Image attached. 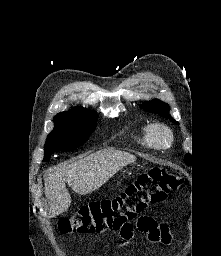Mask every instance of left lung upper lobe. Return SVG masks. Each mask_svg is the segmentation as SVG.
Listing matches in <instances>:
<instances>
[{
	"mask_svg": "<svg viewBox=\"0 0 221 256\" xmlns=\"http://www.w3.org/2000/svg\"><path fill=\"white\" fill-rule=\"evenodd\" d=\"M140 107L147 112L158 113L159 115H161L165 118H169L171 122L178 124V122L175 121L169 115V110H170L169 105L164 103L161 100L154 99L152 101L144 102L140 105ZM185 163H187L188 165L190 164V156L189 155L185 156Z\"/></svg>",
	"mask_w": 221,
	"mask_h": 256,
	"instance_id": "left-lung-upper-lobe-1",
	"label": "left lung upper lobe"
}]
</instances>
